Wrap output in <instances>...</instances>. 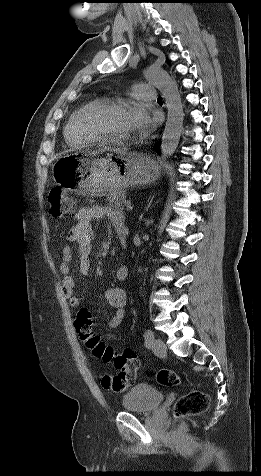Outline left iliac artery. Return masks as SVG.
<instances>
[{
  "label": "left iliac artery",
  "mask_w": 261,
  "mask_h": 476,
  "mask_svg": "<svg viewBox=\"0 0 261 476\" xmlns=\"http://www.w3.org/2000/svg\"><path fill=\"white\" fill-rule=\"evenodd\" d=\"M144 338H145V345L146 347H149L151 345V343L153 342L154 340V333L151 331V330H146L145 334H144Z\"/></svg>",
  "instance_id": "left-iliac-artery-1"
}]
</instances>
